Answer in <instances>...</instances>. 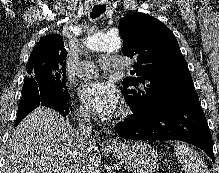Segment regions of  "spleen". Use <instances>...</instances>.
Returning a JSON list of instances; mask_svg holds the SVG:
<instances>
[{
	"label": "spleen",
	"mask_w": 219,
	"mask_h": 173,
	"mask_svg": "<svg viewBox=\"0 0 219 173\" xmlns=\"http://www.w3.org/2000/svg\"><path fill=\"white\" fill-rule=\"evenodd\" d=\"M175 154L185 173H208L206 166L200 160L197 153L186 144L177 142Z\"/></svg>",
	"instance_id": "spleen-1"
}]
</instances>
